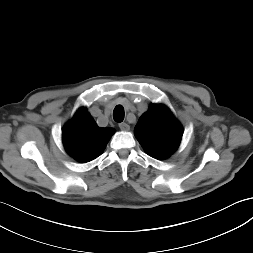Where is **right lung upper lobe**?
I'll return each mask as SVG.
<instances>
[{"label": "right lung upper lobe", "mask_w": 253, "mask_h": 253, "mask_svg": "<svg viewBox=\"0 0 253 253\" xmlns=\"http://www.w3.org/2000/svg\"><path fill=\"white\" fill-rule=\"evenodd\" d=\"M113 128H99L94 119L81 108L63 128L62 140L67 152L85 163L97 158L114 134Z\"/></svg>", "instance_id": "obj_1"}]
</instances>
